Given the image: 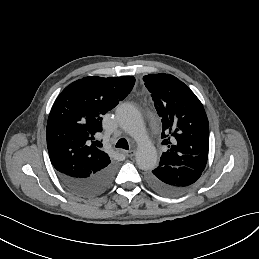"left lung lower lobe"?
Instances as JSON below:
<instances>
[{"label":"left lung lower lobe","instance_id":"left-lung-lower-lobe-1","mask_svg":"<svg viewBox=\"0 0 259 259\" xmlns=\"http://www.w3.org/2000/svg\"><path fill=\"white\" fill-rule=\"evenodd\" d=\"M202 172L184 166H158L147 174V183L156 192L178 196L187 192L199 179Z\"/></svg>","mask_w":259,"mask_h":259}]
</instances>
